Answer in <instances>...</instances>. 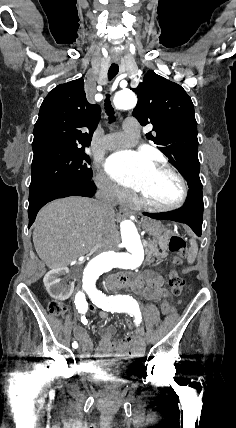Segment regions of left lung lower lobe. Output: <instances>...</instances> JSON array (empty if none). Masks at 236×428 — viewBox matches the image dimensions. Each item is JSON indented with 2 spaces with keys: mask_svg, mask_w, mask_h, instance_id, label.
<instances>
[{
  "mask_svg": "<svg viewBox=\"0 0 236 428\" xmlns=\"http://www.w3.org/2000/svg\"><path fill=\"white\" fill-rule=\"evenodd\" d=\"M203 210L202 188H193L189 189L187 200L180 209L164 213H144V215L154 219L185 223L192 228L196 235L201 236Z\"/></svg>",
  "mask_w": 236,
  "mask_h": 428,
  "instance_id": "obj_1",
  "label": "left lung lower lobe"
}]
</instances>
